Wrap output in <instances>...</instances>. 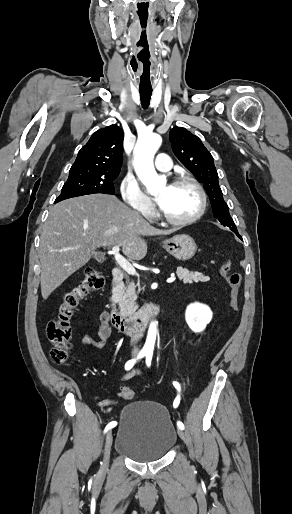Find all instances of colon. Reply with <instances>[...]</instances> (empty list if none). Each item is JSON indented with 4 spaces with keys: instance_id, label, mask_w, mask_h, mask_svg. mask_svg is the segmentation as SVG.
<instances>
[{
    "instance_id": "obj_1",
    "label": "colon",
    "mask_w": 292,
    "mask_h": 514,
    "mask_svg": "<svg viewBox=\"0 0 292 514\" xmlns=\"http://www.w3.org/2000/svg\"><path fill=\"white\" fill-rule=\"evenodd\" d=\"M84 271L83 280L64 291L56 315L46 325L47 339L51 344L50 355L54 363H63L68 357L71 347L70 322L75 310L88 295L98 292L105 284L103 274L94 265H86ZM220 272L228 281L231 306L233 310H237L241 275L228 262L220 265ZM123 390V399L133 401L134 393L129 391V387L126 386Z\"/></svg>"
}]
</instances>
